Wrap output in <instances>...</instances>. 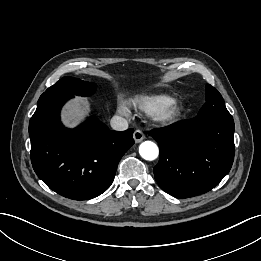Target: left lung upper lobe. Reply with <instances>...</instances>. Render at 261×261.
<instances>
[{
	"instance_id": "obj_1",
	"label": "left lung upper lobe",
	"mask_w": 261,
	"mask_h": 261,
	"mask_svg": "<svg viewBox=\"0 0 261 261\" xmlns=\"http://www.w3.org/2000/svg\"><path fill=\"white\" fill-rule=\"evenodd\" d=\"M199 118H232L228 112L221 94L211 85L206 87V103L200 109Z\"/></svg>"
}]
</instances>
